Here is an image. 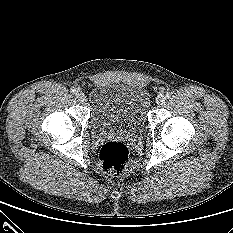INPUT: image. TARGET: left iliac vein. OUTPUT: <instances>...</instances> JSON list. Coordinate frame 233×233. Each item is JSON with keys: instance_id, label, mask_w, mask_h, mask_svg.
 Segmentation results:
<instances>
[{"instance_id": "left-iliac-vein-1", "label": "left iliac vein", "mask_w": 233, "mask_h": 233, "mask_svg": "<svg viewBox=\"0 0 233 233\" xmlns=\"http://www.w3.org/2000/svg\"><path fill=\"white\" fill-rule=\"evenodd\" d=\"M165 96L163 94H159L157 97H156V103L158 105H163L165 103Z\"/></svg>"}]
</instances>
